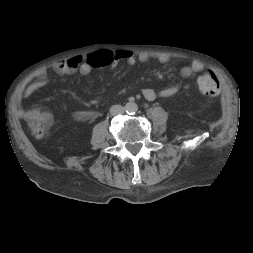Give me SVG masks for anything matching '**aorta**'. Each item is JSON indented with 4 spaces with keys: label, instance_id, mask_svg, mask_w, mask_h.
<instances>
[{
    "label": "aorta",
    "instance_id": "762f6f07",
    "mask_svg": "<svg viewBox=\"0 0 253 253\" xmlns=\"http://www.w3.org/2000/svg\"><path fill=\"white\" fill-rule=\"evenodd\" d=\"M124 109L127 114H134L138 110V106L135 102H127L124 106Z\"/></svg>",
    "mask_w": 253,
    "mask_h": 253
}]
</instances>
